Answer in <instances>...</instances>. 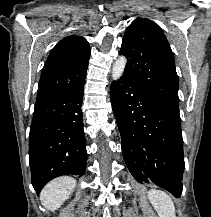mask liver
Instances as JSON below:
<instances>
[{
  "label": "liver",
  "instance_id": "liver-1",
  "mask_svg": "<svg viewBox=\"0 0 211 217\" xmlns=\"http://www.w3.org/2000/svg\"><path fill=\"white\" fill-rule=\"evenodd\" d=\"M76 184V180L67 176L52 180L40 193L42 205L54 212L69 198Z\"/></svg>",
  "mask_w": 211,
  "mask_h": 217
}]
</instances>
